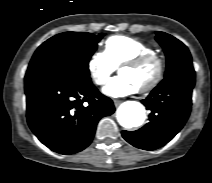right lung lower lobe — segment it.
<instances>
[{"label":"right lung lower lobe","instance_id":"obj_1","mask_svg":"<svg viewBox=\"0 0 212 183\" xmlns=\"http://www.w3.org/2000/svg\"><path fill=\"white\" fill-rule=\"evenodd\" d=\"M25 93L31 130L60 154L85 149L98 121L115 111L112 100L96 89L90 77L26 74Z\"/></svg>","mask_w":212,"mask_h":183}]
</instances>
